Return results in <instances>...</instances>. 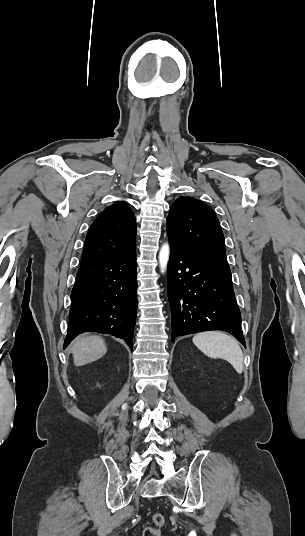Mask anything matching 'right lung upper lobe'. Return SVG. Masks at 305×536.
I'll return each mask as SVG.
<instances>
[{"label":"right lung upper lobe","mask_w":305,"mask_h":536,"mask_svg":"<svg viewBox=\"0 0 305 536\" xmlns=\"http://www.w3.org/2000/svg\"><path fill=\"white\" fill-rule=\"evenodd\" d=\"M136 248V220L125 202L100 213L85 239L81 265L129 253Z\"/></svg>","instance_id":"obj_1"}]
</instances>
